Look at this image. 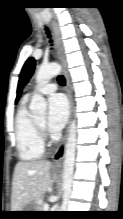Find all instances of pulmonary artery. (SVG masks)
Segmentation results:
<instances>
[{
  "instance_id": "1",
  "label": "pulmonary artery",
  "mask_w": 123,
  "mask_h": 219,
  "mask_svg": "<svg viewBox=\"0 0 123 219\" xmlns=\"http://www.w3.org/2000/svg\"><path fill=\"white\" fill-rule=\"evenodd\" d=\"M57 90V85L54 83H46L38 88H35L26 95V98L30 97L33 93L38 92L41 94H52Z\"/></svg>"
}]
</instances>
